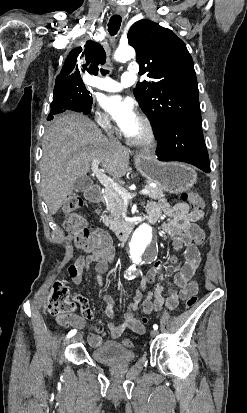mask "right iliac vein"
Wrapping results in <instances>:
<instances>
[{
  "label": "right iliac vein",
  "mask_w": 247,
  "mask_h": 413,
  "mask_svg": "<svg viewBox=\"0 0 247 413\" xmlns=\"http://www.w3.org/2000/svg\"><path fill=\"white\" fill-rule=\"evenodd\" d=\"M80 338H81V335H76V336H74V337L71 339V343L77 342L78 340H80Z\"/></svg>",
  "instance_id": "63e3f726"
}]
</instances>
